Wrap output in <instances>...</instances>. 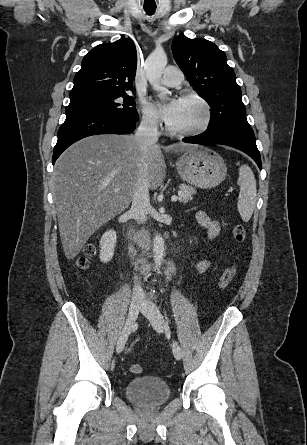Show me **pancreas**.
<instances>
[{"mask_svg":"<svg viewBox=\"0 0 307 445\" xmlns=\"http://www.w3.org/2000/svg\"><path fill=\"white\" fill-rule=\"evenodd\" d=\"M179 188L182 192L180 202H189L192 200L193 194H196L194 186H189V184H180Z\"/></svg>","mask_w":307,"mask_h":445,"instance_id":"cf45deb5","label":"pancreas"}]
</instances>
